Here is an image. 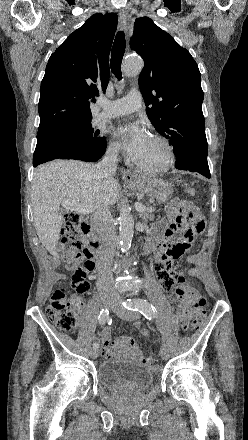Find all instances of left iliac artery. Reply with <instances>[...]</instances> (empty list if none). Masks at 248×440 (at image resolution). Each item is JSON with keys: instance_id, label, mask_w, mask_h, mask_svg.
<instances>
[{"instance_id": "left-iliac-artery-1", "label": "left iliac artery", "mask_w": 248, "mask_h": 440, "mask_svg": "<svg viewBox=\"0 0 248 440\" xmlns=\"http://www.w3.org/2000/svg\"><path fill=\"white\" fill-rule=\"evenodd\" d=\"M122 305L128 310L139 311L149 320L157 317V311L155 307L150 304L146 299H127L122 303Z\"/></svg>"}]
</instances>
